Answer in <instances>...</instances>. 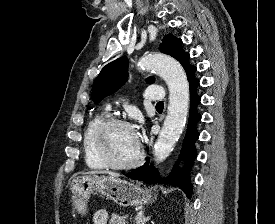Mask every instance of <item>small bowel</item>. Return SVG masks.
Masks as SVG:
<instances>
[{
  "instance_id": "1",
  "label": "small bowel",
  "mask_w": 275,
  "mask_h": 224,
  "mask_svg": "<svg viewBox=\"0 0 275 224\" xmlns=\"http://www.w3.org/2000/svg\"><path fill=\"white\" fill-rule=\"evenodd\" d=\"M108 215L105 210H98L93 217L94 224H107Z\"/></svg>"
}]
</instances>
